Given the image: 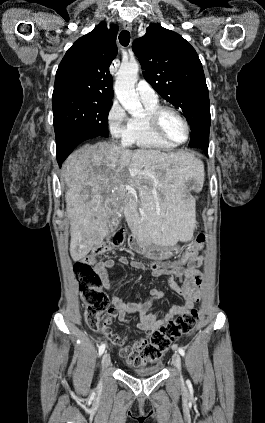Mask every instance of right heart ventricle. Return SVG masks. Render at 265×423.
<instances>
[{"label":"right heart ventricle","instance_id":"e07e8e85","mask_svg":"<svg viewBox=\"0 0 265 423\" xmlns=\"http://www.w3.org/2000/svg\"><path fill=\"white\" fill-rule=\"evenodd\" d=\"M143 103L145 106V114L143 116H134L129 119L123 138L124 143L146 150H172L176 146L170 145L161 140L153 132L147 119V114L159 106L158 100L155 102L143 101Z\"/></svg>","mask_w":265,"mask_h":423}]
</instances>
